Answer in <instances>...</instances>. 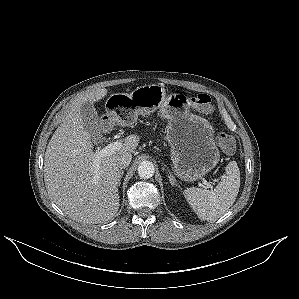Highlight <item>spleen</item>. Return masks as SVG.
I'll return each instance as SVG.
<instances>
[{
	"label": "spleen",
	"mask_w": 299,
	"mask_h": 299,
	"mask_svg": "<svg viewBox=\"0 0 299 299\" xmlns=\"http://www.w3.org/2000/svg\"><path fill=\"white\" fill-rule=\"evenodd\" d=\"M222 181L214 190L187 188L183 195L202 221L214 222L235 202L240 187V171L235 161L226 166Z\"/></svg>",
	"instance_id": "obj_1"
}]
</instances>
